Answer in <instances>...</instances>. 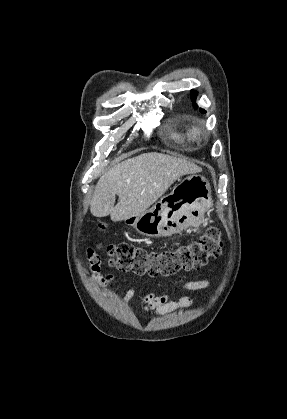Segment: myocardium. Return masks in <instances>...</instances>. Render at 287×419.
<instances>
[{
  "instance_id": "1",
  "label": "myocardium",
  "mask_w": 287,
  "mask_h": 419,
  "mask_svg": "<svg viewBox=\"0 0 287 419\" xmlns=\"http://www.w3.org/2000/svg\"><path fill=\"white\" fill-rule=\"evenodd\" d=\"M192 133L195 138H200L204 135V131L199 127L192 128Z\"/></svg>"
}]
</instances>
